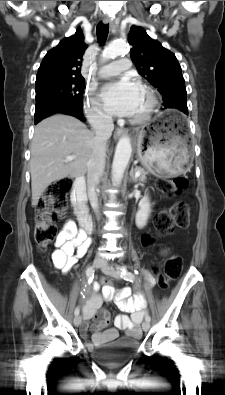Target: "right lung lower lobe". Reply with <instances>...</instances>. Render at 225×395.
I'll return each mask as SVG.
<instances>
[{
	"mask_svg": "<svg viewBox=\"0 0 225 395\" xmlns=\"http://www.w3.org/2000/svg\"><path fill=\"white\" fill-rule=\"evenodd\" d=\"M55 113H63L74 116L82 121H85L83 110H82V103H59L53 105L52 107L46 109L45 111L41 112L40 114H35V124L39 121L44 119L45 117L55 114Z\"/></svg>",
	"mask_w": 225,
	"mask_h": 395,
	"instance_id": "1",
	"label": "right lung lower lobe"
}]
</instances>
